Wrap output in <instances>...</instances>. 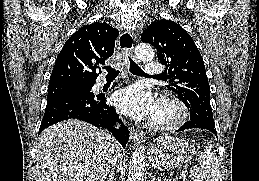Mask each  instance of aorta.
Returning <instances> with one entry per match:
<instances>
[{
    "label": "aorta",
    "mask_w": 259,
    "mask_h": 181,
    "mask_svg": "<svg viewBox=\"0 0 259 181\" xmlns=\"http://www.w3.org/2000/svg\"><path fill=\"white\" fill-rule=\"evenodd\" d=\"M136 55L142 60H152L154 57V51L148 44H140L136 48ZM144 146L136 148L132 154L129 170H128V181H143L144 171Z\"/></svg>",
    "instance_id": "obj_1"
}]
</instances>
